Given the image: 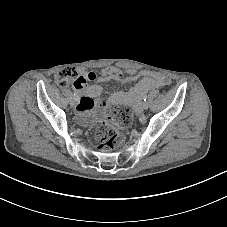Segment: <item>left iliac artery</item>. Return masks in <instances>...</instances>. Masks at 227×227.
<instances>
[{
  "mask_svg": "<svg viewBox=\"0 0 227 227\" xmlns=\"http://www.w3.org/2000/svg\"><path fill=\"white\" fill-rule=\"evenodd\" d=\"M143 100L146 101L147 100V95L143 96Z\"/></svg>",
  "mask_w": 227,
  "mask_h": 227,
  "instance_id": "left-iliac-artery-1",
  "label": "left iliac artery"
}]
</instances>
